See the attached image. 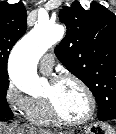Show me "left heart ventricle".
Listing matches in <instances>:
<instances>
[{"label": "left heart ventricle", "mask_w": 116, "mask_h": 134, "mask_svg": "<svg viewBox=\"0 0 116 134\" xmlns=\"http://www.w3.org/2000/svg\"><path fill=\"white\" fill-rule=\"evenodd\" d=\"M44 96L51 97L59 112L71 120L81 119L89 109L85 92L72 81H64L57 85L50 82Z\"/></svg>", "instance_id": "obj_1"}]
</instances>
